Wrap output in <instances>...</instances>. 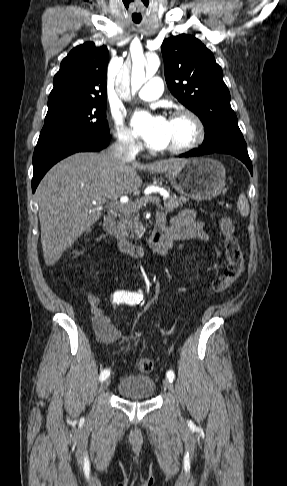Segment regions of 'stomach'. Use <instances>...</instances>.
<instances>
[{
	"instance_id": "stomach-1",
	"label": "stomach",
	"mask_w": 287,
	"mask_h": 486,
	"mask_svg": "<svg viewBox=\"0 0 287 486\" xmlns=\"http://www.w3.org/2000/svg\"><path fill=\"white\" fill-rule=\"evenodd\" d=\"M166 177L179 194L197 201L217 197L226 184L224 166L206 157L186 159Z\"/></svg>"
}]
</instances>
